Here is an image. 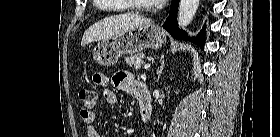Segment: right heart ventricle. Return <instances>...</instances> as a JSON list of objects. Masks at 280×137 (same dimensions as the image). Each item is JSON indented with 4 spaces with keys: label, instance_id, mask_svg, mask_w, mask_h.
<instances>
[{
    "label": "right heart ventricle",
    "instance_id": "right-heart-ventricle-1",
    "mask_svg": "<svg viewBox=\"0 0 280 137\" xmlns=\"http://www.w3.org/2000/svg\"><path fill=\"white\" fill-rule=\"evenodd\" d=\"M97 2H104V1H107V0H96ZM119 1H123V0H119ZM130 10V8H128V7H126V6H124L120 11H129Z\"/></svg>",
    "mask_w": 280,
    "mask_h": 137
}]
</instances>
